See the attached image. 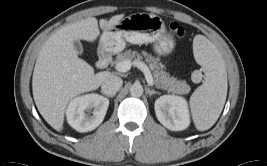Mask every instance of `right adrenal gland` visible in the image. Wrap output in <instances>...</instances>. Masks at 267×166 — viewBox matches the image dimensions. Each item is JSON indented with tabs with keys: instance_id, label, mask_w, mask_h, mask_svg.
I'll list each match as a JSON object with an SVG mask.
<instances>
[{
	"instance_id": "right-adrenal-gland-1",
	"label": "right adrenal gland",
	"mask_w": 267,
	"mask_h": 166,
	"mask_svg": "<svg viewBox=\"0 0 267 166\" xmlns=\"http://www.w3.org/2000/svg\"><path fill=\"white\" fill-rule=\"evenodd\" d=\"M102 94H104L102 91H101ZM108 98H113L114 95H107Z\"/></svg>"
}]
</instances>
